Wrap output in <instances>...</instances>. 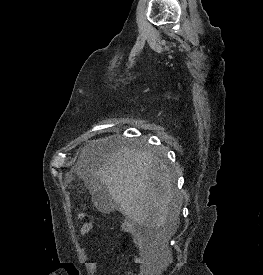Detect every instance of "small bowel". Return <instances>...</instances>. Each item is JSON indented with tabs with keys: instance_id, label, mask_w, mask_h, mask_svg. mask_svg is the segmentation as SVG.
Returning <instances> with one entry per match:
<instances>
[{
	"instance_id": "small-bowel-1",
	"label": "small bowel",
	"mask_w": 263,
	"mask_h": 275,
	"mask_svg": "<svg viewBox=\"0 0 263 275\" xmlns=\"http://www.w3.org/2000/svg\"><path fill=\"white\" fill-rule=\"evenodd\" d=\"M92 227L93 225L90 222L83 224L79 232V238L83 239L92 230ZM130 232L133 235L134 243L138 249L137 254L134 256V262L138 265V272L135 275H152V269L149 262V249L147 245L138 232L134 230H130ZM97 267V262L87 263V269L90 273L94 274L97 270Z\"/></svg>"
}]
</instances>
